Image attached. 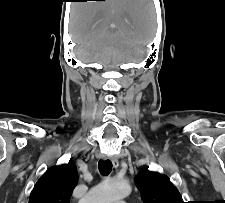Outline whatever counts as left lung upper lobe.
<instances>
[{
	"instance_id": "1",
	"label": "left lung upper lobe",
	"mask_w": 225,
	"mask_h": 203,
	"mask_svg": "<svg viewBox=\"0 0 225 203\" xmlns=\"http://www.w3.org/2000/svg\"><path fill=\"white\" fill-rule=\"evenodd\" d=\"M144 203H184L177 188L165 175L144 168L135 178Z\"/></svg>"
}]
</instances>
